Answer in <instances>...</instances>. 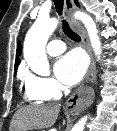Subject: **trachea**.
I'll use <instances>...</instances> for the list:
<instances>
[{
	"label": "trachea",
	"mask_w": 117,
	"mask_h": 131,
	"mask_svg": "<svg viewBox=\"0 0 117 131\" xmlns=\"http://www.w3.org/2000/svg\"><path fill=\"white\" fill-rule=\"evenodd\" d=\"M53 1H54L58 14L62 16L64 0H53ZM62 29L65 35H67L73 41L75 42L81 41L80 36L70 28L68 22L65 19L62 20Z\"/></svg>",
	"instance_id": "obj_1"
}]
</instances>
